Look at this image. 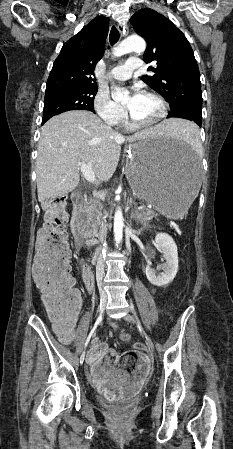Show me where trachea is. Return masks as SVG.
<instances>
[{
    "label": "trachea",
    "mask_w": 233,
    "mask_h": 449,
    "mask_svg": "<svg viewBox=\"0 0 233 449\" xmlns=\"http://www.w3.org/2000/svg\"><path fill=\"white\" fill-rule=\"evenodd\" d=\"M118 39H119V31L117 30V28L115 26H113L111 28L110 35H109V41H110L111 45L116 44Z\"/></svg>",
    "instance_id": "obj_1"
}]
</instances>
